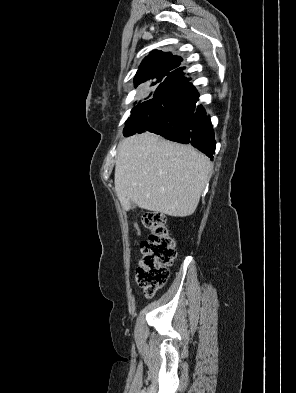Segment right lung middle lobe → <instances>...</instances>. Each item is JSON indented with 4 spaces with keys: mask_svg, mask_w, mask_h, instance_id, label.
Instances as JSON below:
<instances>
[{
    "mask_svg": "<svg viewBox=\"0 0 296 393\" xmlns=\"http://www.w3.org/2000/svg\"><path fill=\"white\" fill-rule=\"evenodd\" d=\"M163 80H156V82L155 83H153V85H160L161 84V82H162ZM149 102V100L148 101H145V102H143V103H140V104H138V105H136L133 109H132V111H131V117L126 121V125L130 122V121H132L140 112H141V110L146 106V104Z\"/></svg>",
    "mask_w": 296,
    "mask_h": 393,
    "instance_id": "right-lung-middle-lobe-1",
    "label": "right lung middle lobe"
}]
</instances>
